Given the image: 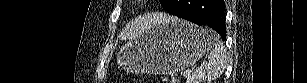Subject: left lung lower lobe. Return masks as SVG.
I'll list each match as a JSON object with an SVG mask.
<instances>
[{"mask_svg":"<svg viewBox=\"0 0 307 83\" xmlns=\"http://www.w3.org/2000/svg\"><path fill=\"white\" fill-rule=\"evenodd\" d=\"M167 12L197 25H208L223 39L226 37L223 0H175Z\"/></svg>","mask_w":307,"mask_h":83,"instance_id":"left-lung-lower-lobe-1","label":"left lung lower lobe"}]
</instances>
